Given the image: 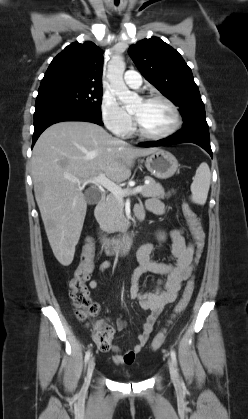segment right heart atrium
<instances>
[{"mask_svg": "<svg viewBox=\"0 0 248 419\" xmlns=\"http://www.w3.org/2000/svg\"><path fill=\"white\" fill-rule=\"evenodd\" d=\"M100 114L104 125L117 136L123 137L130 133L132 117L110 94H104L100 103Z\"/></svg>", "mask_w": 248, "mask_h": 419, "instance_id": "d8ad5b80", "label": "right heart atrium"}]
</instances>
